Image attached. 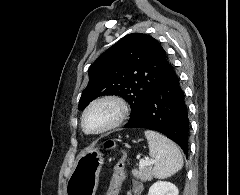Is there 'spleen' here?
I'll use <instances>...</instances> for the list:
<instances>
[{
    "label": "spleen",
    "mask_w": 240,
    "mask_h": 195,
    "mask_svg": "<svg viewBox=\"0 0 240 195\" xmlns=\"http://www.w3.org/2000/svg\"><path fill=\"white\" fill-rule=\"evenodd\" d=\"M144 133L149 143V155L156 159L152 171L154 177L165 179L182 169V153L172 139H168L165 135L152 131V129H146Z\"/></svg>",
    "instance_id": "obj_1"
}]
</instances>
